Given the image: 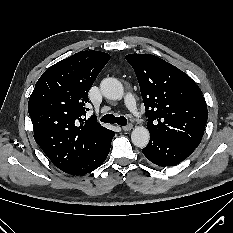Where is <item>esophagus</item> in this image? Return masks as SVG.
<instances>
[{"instance_id": "1", "label": "esophagus", "mask_w": 233, "mask_h": 233, "mask_svg": "<svg viewBox=\"0 0 233 233\" xmlns=\"http://www.w3.org/2000/svg\"><path fill=\"white\" fill-rule=\"evenodd\" d=\"M132 128H133V125H132V124H128V125L122 127V129H123L124 131H130Z\"/></svg>"}]
</instances>
